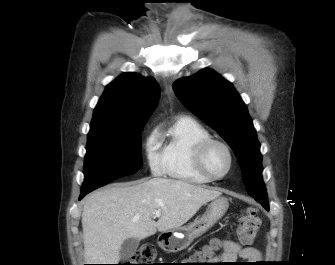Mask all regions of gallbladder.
<instances>
[{
    "label": "gallbladder",
    "mask_w": 335,
    "mask_h": 265,
    "mask_svg": "<svg viewBox=\"0 0 335 265\" xmlns=\"http://www.w3.org/2000/svg\"><path fill=\"white\" fill-rule=\"evenodd\" d=\"M138 246H139V239L137 238L126 239L122 243L119 251L120 259L123 261L130 259L135 254Z\"/></svg>",
    "instance_id": "bac80fb5"
}]
</instances>
